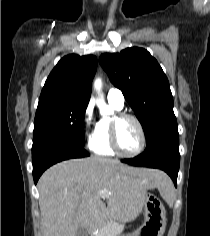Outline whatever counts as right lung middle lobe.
Returning <instances> with one entry per match:
<instances>
[{"label":"right lung middle lobe","instance_id":"right-lung-middle-lobe-1","mask_svg":"<svg viewBox=\"0 0 210 236\" xmlns=\"http://www.w3.org/2000/svg\"><path fill=\"white\" fill-rule=\"evenodd\" d=\"M87 105L76 101L55 100L39 103L33 143L46 139L70 141L84 147V115Z\"/></svg>","mask_w":210,"mask_h":236}]
</instances>
